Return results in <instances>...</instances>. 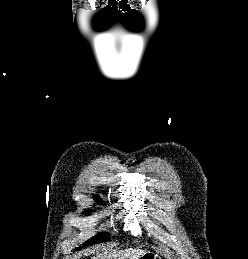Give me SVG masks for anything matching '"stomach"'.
Segmentation results:
<instances>
[{"mask_svg": "<svg viewBox=\"0 0 248 259\" xmlns=\"http://www.w3.org/2000/svg\"><path fill=\"white\" fill-rule=\"evenodd\" d=\"M138 259H162L158 254L150 251H145Z\"/></svg>", "mask_w": 248, "mask_h": 259, "instance_id": "0dacf381", "label": "stomach"}]
</instances>
